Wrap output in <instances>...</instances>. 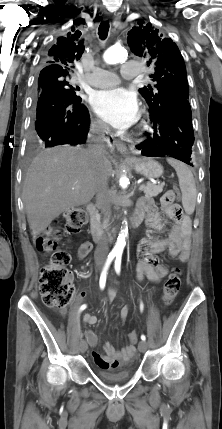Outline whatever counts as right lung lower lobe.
Here are the masks:
<instances>
[{"label": "right lung lower lobe", "instance_id": "obj_1", "mask_svg": "<svg viewBox=\"0 0 222 429\" xmlns=\"http://www.w3.org/2000/svg\"><path fill=\"white\" fill-rule=\"evenodd\" d=\"M82 99L49 85L37 97L35 130L45 147L85 143L89 113Z\"/></svg>", "mask_w": 222, "mask_h": 429}]
</instances>
